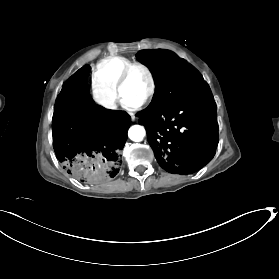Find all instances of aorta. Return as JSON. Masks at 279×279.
<instances>
[{"label":"aorta","instance_id":"762f6f07","mask_svg":"<svg viewBox=\"0 0 279 279\" xmlns=\"http://www.w3.org/2000/svg\"><path fill=\"white\" fill-rule=\"evenodd\" d=\"M146 131L141 125H133L129 128L128 136L132 141L140 142L144 139Z\"/></svg>","mask_w":279,"mask_h":279}]
</instances>
